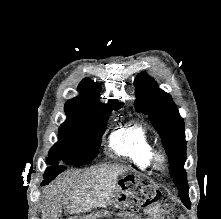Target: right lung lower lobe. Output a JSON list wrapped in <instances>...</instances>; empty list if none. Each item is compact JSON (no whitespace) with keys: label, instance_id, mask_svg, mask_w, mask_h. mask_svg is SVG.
<instances>
[{"label":"right lung lower lobe","instance_id":"obj_1","mask_svg":"<svg viewBox=\"0 0 221 219\" xmlns=\"http://www.w3.org/2000/svg\"><path fill=\"white\" fill-rule=\"evenodd\" d=\"M65 169L66 167L58 165L47 168L44 174V180L41 183V185L48 184L51 180H53L59 173H61Z\"/></svg>","mask_w":221,"mask_h":219}]
</instances>
